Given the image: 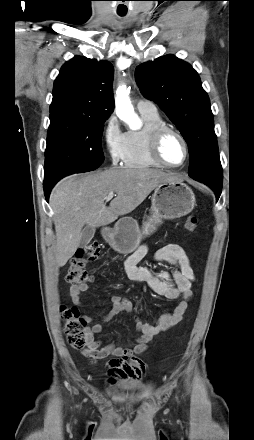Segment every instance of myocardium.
I'll return each instance as SVG.
<instances>
[{
	"instance_id": "1",
	"label": "myocardium",
	"mask_w": 254,
	"mask_h": 440,
	"mask_svg": "<svg viewBox=\"0 0 254 440\" xmlns=\"http://www.w3.org/2000/svg\"><path fill=\"white\" fill-rule=\"evenodd\" d=\"M167 134L176 135L180 139V141L182 142L185 155H184V160L180 164H177V165L170 164L167 161H165L164 158L162 157L161 144ZM149 152H150L152 159L156 163H158L159 165H161L165 168H180V167H182L187 162V160L189 158V153H190L189 145H188V142H187L186 138L184 137V135L179 130H177L176 128L169 126V125H162L152 131V133L150 135V140H149Z\"/></svg>"
}]
</instances>
